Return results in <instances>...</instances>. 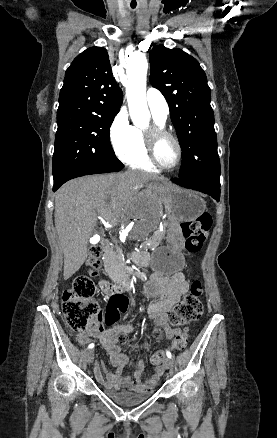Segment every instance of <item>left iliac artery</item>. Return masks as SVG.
<instances>
[{
  "instance_id": "left-iliac-artery-1",
  "label": "left iliac artery",
  "mask_w": 277,
  "mask_h": 438,
  "mask_svg": "<svg viewBox=\"0 0 277 438\" xmlns=\"http://www.w3.org/2000/svg\"><path fill=\"white\" fill-rule=\"evenodd\" d=\"M166 355L168 358H172V354L170 353V351H166Z\"/></svg>"
}]
</instances>
